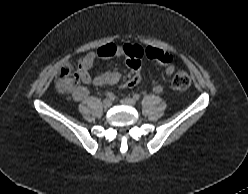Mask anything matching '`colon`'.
<instances>
[{
    "instance_id": "colon-1",
    "label": "colon",
    "mask_w": 248,
    "mask_h": 194,
    "mask_svg": "<svg viewBox=\"0 0 248 194\" xmlns=\"http://www.w3.org/2000/svg\"><path fill=\"white\" fill-rule=\"evenodd\" d=\"M155 55V60L160 65H170L174 62L173 56L167 52L158 50ZM133 82L138 83L140 80V69H136L133 72ZM79 81V74L76 67L69 63L64 65L58 75L56 81V87L61 92H69L74 90ZM191 84V78L189 74L183 70L177 71L172 78V87L177 91H185ZM127 85V82L124 86Z\"/></svg>"
}]
</instances>
